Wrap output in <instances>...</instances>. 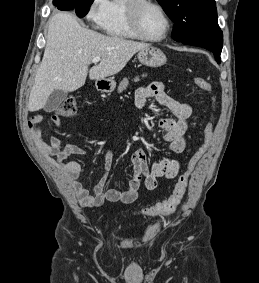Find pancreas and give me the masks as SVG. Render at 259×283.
I'll list each match as a JSON object with an SVG mask.
<instances>
[{
  "instance_id": "cf45deb5",
  "label": "pancreas",
  "mask_w": 259,
  "mask_h": 283,
  "mask_svg": "<svg viewBox=\"0 0 259 283\" xmlns=\"http://www.w3.org/2000/svg\"><path fill=\"white\" fill-rule=\"evenodd\" d=\"M146 75H143V77H145ZM135 82L139 81V77H136L134 79ZM129 81L127 78H124L121 82L120 85L118 87V92L121 93L123 90H125L128 87Z\"/></svg>"
}]
</instances>
